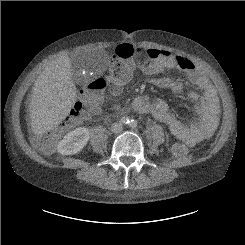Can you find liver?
Listing matches in <instances>:
<instances>
[{
    "label": "liver",
    "instance_id": "obj_1",
    "mask_svg": "<svg viewBox=\"0 0 245 245\" xmlns=\"http://www.w3.org/2000/svg\"><path fill=\"white\" fill-rule=\"evenodd\" d=\"M69 56L53 60L36 79L30 102L31 128L42 135L58 126L76 101Z\"/></svg>",
    "mask_w": 245,
    "mask_h": 245
}]
</instances>
